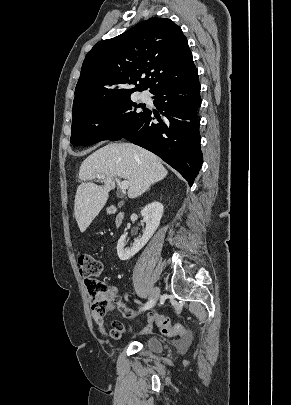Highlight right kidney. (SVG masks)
<instances>
[{
	"instance_id": "right-kidney-1",
	"label": "right kidney",
	"mask_w": 291,
	"mask_h": 405,
	"mask_svg": "<svg viewBox=\"0 0 291 405\" xmlns=\"http://www.w3.org/2000/svg\"><path fill=\"white\" fill-rule=\"evenodd\" d=\"M144 222L146 223L143 235L136 239L130 248H125L126 236L122 235L117 243V255L120 260L126 261L139 252L155 233L160 225L163 215V205L160 202H152L141 210Z\"/></svg>"
}]
</instances>
